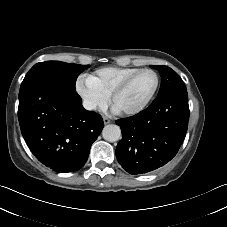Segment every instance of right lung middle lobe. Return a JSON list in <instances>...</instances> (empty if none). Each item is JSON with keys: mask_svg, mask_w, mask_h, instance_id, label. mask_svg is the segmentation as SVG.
<instances>
[{"mask_svg": "<svg viewBox=\"0 0 227 227\" xmlns=\"http://www.w3.org/2000/svg\"><path fill=\"white\" fill-rule=\"evenodd\" d=\"M89 67V65L71 64L60 61L40 62L28 71L20 89L38 80H48L75 91V82L78 75Z\"/></svg>", "mask_w": 227, "mask_h": 227, "instance_id": "1", "label": "right lung middle lobe"}]
</instances>
